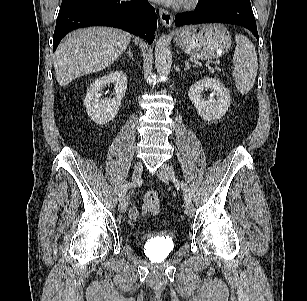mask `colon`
Returning <instances> with one entry per match:
<instances>
[{"label": "colon", "mask_w": 307, "mask_h": 301, "mask_svg": "<svg viewBox=\"0 0 307 301\" xmlns=\"http://www.w3.org/2000/svg\"><path fill=\"white\" fill-rule=\"evenodd\" d=\"M143 210L146 215H156L160 210V201L158 194L155 191H149L143 199Z\"/></svg>", "instance_id": "obj_1"}]
</instances>
